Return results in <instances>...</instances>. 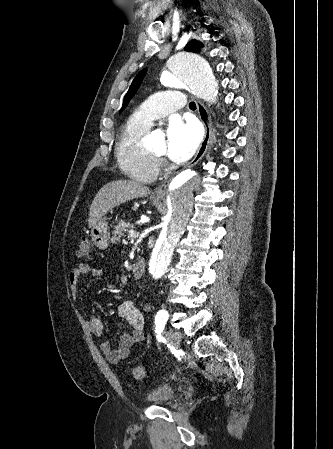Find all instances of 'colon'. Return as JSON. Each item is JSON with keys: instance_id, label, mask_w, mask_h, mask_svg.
Returning a JSON list of instances; mask_svg holds the SVG:
<instances>
[{"instance_id": "5ec220e1", "label": "colon", "mask_w": 333, "mask_h": 449, "mask_svg": "<svg viewBox=\"0 0 333 449\" xmlns=\"http://www.w3.org/2000/svg\"><path fill=\"white\" fill-rule=\"evenodd\" d=\"M91 251V245L87 238L83 237L78 242L77 254L79 257L85 258ZM133 375L136 379H143L145 377V370L141 366L133 369Z\"/></svg>"}]
</instances>
